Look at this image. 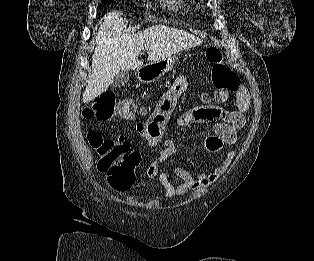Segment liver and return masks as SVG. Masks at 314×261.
<instances>
[{"label":"liver","instance_id":"obj_1","mask_svg":"<svg viewBox=\"0 0 314 261\" xmlns=\"http://www.w3.org/2000/svg\"><path fill=\"white\" fill-rule=\"evenodd\" d=\"M201 43L198 37L165 25H154L130 35L121 14L110 12L103 18L96 36L92 75L82 101L88 103L105 92L120 71L142 67L138 56L144 49L149 51L148 60L154 62Z\"/></svg>","mask_w":314,"mask_h":261}]
</instances>
